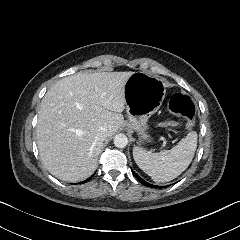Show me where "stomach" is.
Wrapping results in <instances>:
<instances>
[{"label": "stomach", "mask_w": 240, "mask_h": 240, "mask_svg": "<svg viewBox=\"0 0 240 240\" xmlns=\"http://www.w3.org/2000/svg\"><path fill=\"white\" fill-rule=\"evenodd\" d=\"M166 95V80L145 72H134L125 85L128 127L134 129L141 143L150 142L148 119L161 107Z\"/></svg>", "instance_id": "0dacf381"}]
</instances>
